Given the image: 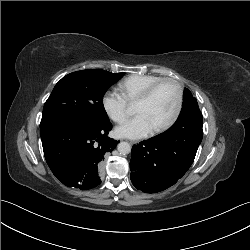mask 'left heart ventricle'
Instances as JSON below:
<instances>
[{"label": "left heart ventricle", "instance_id": "obj_1", "mask_svg": "<svg viewBox=\"0 0 250 250\" xmlns=\"http://www.w3.org/2000/svg\"><path fill=\"white\" fill-rule=\"evenodd\" d=\"M177 101V90L174 84L164 83L154 93L152 98L135 104L134 112L143 115L152 129L165 124L173 115Z\"/></svg>", "mask_w": 250, "mask_h": 250}]
</instances>
